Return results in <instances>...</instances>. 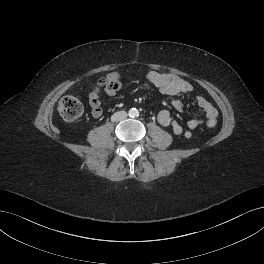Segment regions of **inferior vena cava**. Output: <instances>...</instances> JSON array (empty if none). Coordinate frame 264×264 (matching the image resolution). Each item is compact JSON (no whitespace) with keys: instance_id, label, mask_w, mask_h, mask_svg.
<instances>
[{"instance_id":"obj_1","label":"inferior vena cava","mask_w":264,"mask_h":264,"mask_svg":"<svg viewBox=\"0 0 264 264\" xmlns=\"http://www.w3.org/2000/svg\"><path fill=\"white\" fill-rule=\"evenodd\" d=\"M127 118V112L126 111H118L114 113L111 117V120L113 122L122 121Z\"/></svg>"}]
</instances>
